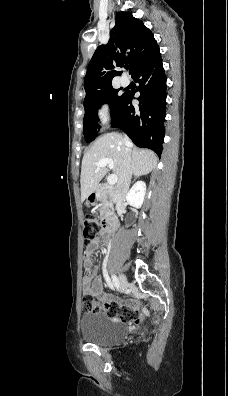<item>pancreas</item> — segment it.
<instances>
[{
    "label": "pancreas",
    "instance_id": "pancreas-1",
    "mask_svg": "<svg viewBox=\"0 0 228 396\" xmlns=\"http://www.w3.org/2000/svg\"><path fill=\"white\" fill-rule=\"evenodd\" d=\"M98 200L101 202L99 211L100 218L103 220L107 218L113 207L112 193L104 186H100L98 189Z\"/></svg>",
    "mask_w": 228,
    "mask_h": 396
}]
</instances>
